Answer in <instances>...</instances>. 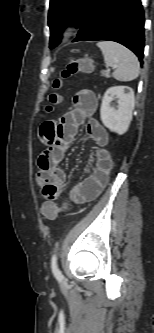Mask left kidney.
I'll return each instance as SVG.
<instances>
[{
  "label": "left kidney",
  "mask_w": 154,
  "mask_h": 333,
  "mask_svg": "<svg viewBox=\"0 0 154 333\" xmlns=\"http://www.w3.org/2000/svg\"><path fill=\"white\" fill-rule=\"evenodd\" d=\"M117 100V105L112 102ZM135 106L134 91L127 86H113L105 92L101 109V121L110 131L122 135L132 121Z\"/></svg>",
  "instance_id": "obj_1"
}]
</instances>
